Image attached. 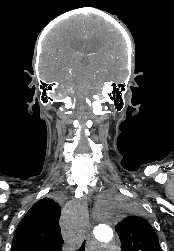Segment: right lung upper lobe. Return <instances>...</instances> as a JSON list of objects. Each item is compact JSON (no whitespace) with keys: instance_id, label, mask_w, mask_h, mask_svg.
I'll return each instance as SVG.
<instances>
[{"instance_id":"obj_1","label":"right lung upper lobe","mask_w":174,"mask_h":251,"mask_svg":"<svg viewBox=\"0 0 174 251\" xmlns=\"http://www.w3.org/2000/svg\"><path fill=\"white\" fill-rule=\"evenodd\" d=\"M60 211L50 198L36 202L19 222L11 251H62Z\"/></svg>"}]
</instances>
